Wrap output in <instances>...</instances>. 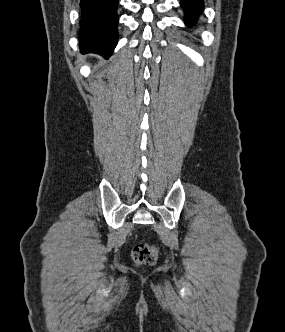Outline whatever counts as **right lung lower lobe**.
Here are the masks:
<instances>
[{"instance_id":"1","label":"right lung lower lobe","mask_w":285,"mask_h":332,"mask_svg":"<svg viewBox=\"0 0 285 332\" xmlns=\"http://www.w3.org/2000/svg\"><path fill=\"white\" fill-rule=\"evenodd\" d=\"M118 0H81L80 49L108 58L117 44Z\"/></svg>"}]
</instances>
